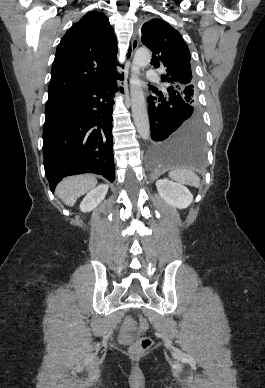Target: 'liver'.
Returning <instances> with one entry per match:
<instances>
[{
    "instance_id": "liver-1",
    "label": "liver",
    "mask_w": 265,
    "mask_h": 388,
    "mask_svg": "<svg viewBox=\"0 0 265 388\" xmlns=\"http://www.w3.org/2000/svg\"><path fill=\"white\" fill-rule=\"evenodd\" d=\"M97 184L95 176L83 174V176H70L64 178L56 188V194L66 206H74L80 196H84L93 190Z\"/></svg>"
}]
</instances>
